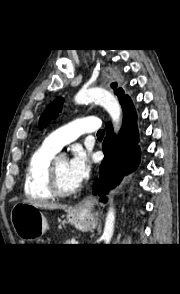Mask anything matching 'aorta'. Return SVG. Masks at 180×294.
I'll list each match as a JSON object with an SVG mask.
<instances>
[{
	"label": "aorta",
	"mask_w": 180,
	"mask_h": 294,
	"mask_svg": "<svg viewBox=\"0 0 180 294\" xmlns=\"http://www.w3.org/2000/svg\"><path fill=\"white\" fill-rule=\"evenodd\" d=\"M77 104L97 103L101 105L110 115L114 127L119 129L121 123V107L118 100L107 90L101 88L82 89L75 96ZM115 210L111 207L107 213L102 239L109 244L114 233Z\"/></svg>",
	"instance_id": "aorta-1"
}]
</instances>
